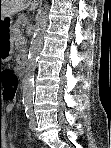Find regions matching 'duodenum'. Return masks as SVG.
I'll return each instance as SVG.
<instances>
[{
	"label": "duodenum",
	"mask_w": 111,
	"mask_h": 148,
	"mask_svg": "<svg viewBox=\"0 0 111 148\" xmlns=\"http://www.w3.org/2000/svg\"><path fill=\"white\" fill-rule=\"evenodd\" d=\"M19 63H20V66H26L27 58L25 56H20Z\"/></svg>",
	"instance_id": "1"
}]
</instances>
